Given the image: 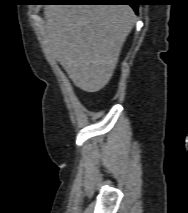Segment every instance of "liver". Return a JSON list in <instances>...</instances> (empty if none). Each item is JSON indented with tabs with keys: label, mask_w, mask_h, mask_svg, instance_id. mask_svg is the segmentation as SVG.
I'll return each instance as SVG.
<instances>
[{
	"label": "liver",
	"mask_w": 188,
	"mask_h": 213,
	"mask_svg": "<svg viewBox=\"0 0 188 213\" xmlns=\"http://www.w3.org/2000/svg\"><path fill=\"white\" fill-rule=\"evenodd\" d=\"M46 43L72 82L97 92L110 81L136 21L130 6L60 5L44 9Z\"/></svg>",
	"instance_id": "obj_1"
}]
</instances>
